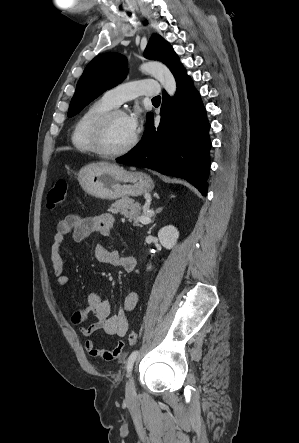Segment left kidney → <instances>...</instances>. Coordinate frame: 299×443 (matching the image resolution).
<instances>
[{
  "mask_svg": "<svg viewBox=\"0 0 299 443\" xmlns=\"http://www.w3.org/2000/svg\"><path fill=\"white\" fill-rule=\"evenodd\" d=\"M158 238L163 247L166 249H171L176 244L177 239L179 238L178 230L172 226H165L158 232ZM147 269H151L149 266Z\"/></svg>",
  "mask_w": 299,
  "mask_h": 443,
  "instance_id": "5707ae66",
  "label": "left kidney"
}]
</instances>
